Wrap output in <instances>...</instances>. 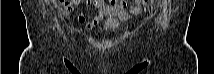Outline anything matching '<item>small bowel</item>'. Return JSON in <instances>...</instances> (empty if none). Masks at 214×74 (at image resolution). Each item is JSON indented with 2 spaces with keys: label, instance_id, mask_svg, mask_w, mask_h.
I'll use <instances>...</instances> for the list:
<instances>
[{
  "label": "small bowel",
  "instance_id": "1",
  "mask_svg": "<svg viewBox=\"0 0 214 74\" xmlns=\"http://www.w3.org/2000/svg\"><path fill=\"white\" fill-rule=\"evenodd\" d=\"M68 8L73 9L79 5L85 6L86 10L78 15V23L84 25L86 29L94 28L105 15H113L121 19H126L130 15H137L140 12L138 5H130L129 11L126 10L125 3H105L100 0L88 1H70Z\"/></svg>",
  "mask_w": 214,
  "mask_h": 74
}]
</instances>
